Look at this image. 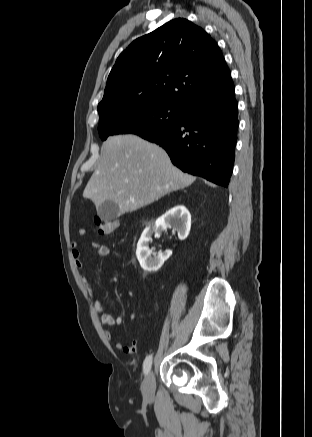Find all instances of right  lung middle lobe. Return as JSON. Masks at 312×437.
I'll list each match as a JSON object with an SVG mask.
<instances>
[{
  "instance_id": "right-lung-middle-lobe-1",
  "label": "right lung middle lobe",
  "mask_w": 312,
  "mask_h": 437,
  "mask_svg": "<svg viewBox=\"0 0 312 437\" xmlns=\"http://www.w3.org/2000/svg\"><path fill=\"white\" fill-rule=\"evenodd\" d=\"M182 112V107L160 102L125 105L99 118V136L105 140L115 134L156 135L176 125Z\"/></svg>"
}]
</instances>
